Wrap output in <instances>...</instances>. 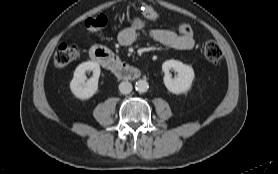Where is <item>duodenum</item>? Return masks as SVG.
Segmentation results:
<instances>
[{"label": "duodenum", "mask_w": 278, "mask_h": 174, "mask_svg": "<svg viewBox=\"0 0 278 174\" xmlns=\"http://www.w3.org/2000/svg\"><path fill=\"white\" fill-rule=\"evenodd\" d=\"M90 57L121 79L130 80L140 76V71L137 68L124 63L117 55L105 47L93 46L90 49Z\"/></svg>", "instance_id": "duodenum-1"}]
</instances>
